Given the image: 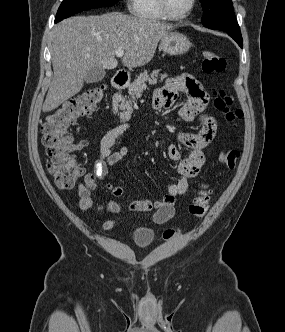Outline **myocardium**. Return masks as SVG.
I'll return each instance as SVG.
<instances>
[{
    "label": "myocardium",
    "mask_w": 285,
    "mask_h": 332,
    "mask_svg": "<svg viewBox=\"0 0 285 332\" xmlns=\"http://www.w3.org/2000/svg\"><path fill=\"white\" fill-rule=\"evenodd\" d=\"M158 4H159V7H160L162 13L168 19L175 20V21H181V20L188 18L191 15V13L193 12V10L196 7L197 0H191V5H190L189 9L182 15H176L171 11L168 0H158Z\"/></svg>",
    "instance_id": "1"
}]
</instances>
